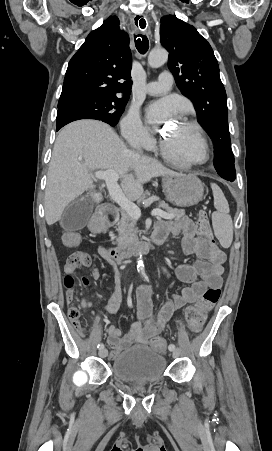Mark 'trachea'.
Returning <instances> with one entry per match:
<instances>
[{"mask_svg": "<svg viewBox=\"0 0 272 451\" xmlns=\"http://www.w3.org/2000/svg\"><path fill=\"white\" fill-rule=\"evenodd\" d=\"M139 20V25L141 28H145L146 27V22L144 19L137 17L136 19V24ZM134 39H135V45L137 50L144 54L147 52L148 48H149V42H148V38L146 37V35L143 34H138V35H134Z\"/></svg>", "mask_w": 272, "mask_h": 451, "instance_id": "obj_1", "label": "trachea"}]
</instances>
